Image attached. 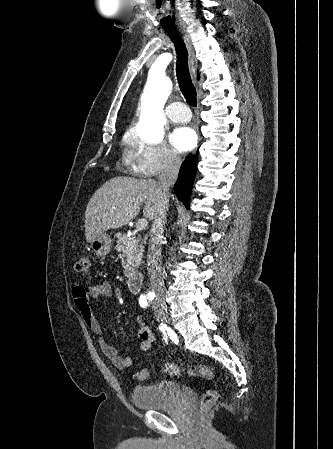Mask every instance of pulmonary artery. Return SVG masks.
I'll return each mask as SVG.
<instances>
[{
    "label": "pulmonary artery",
    "instance_id": "pulmonary-artery-1",
    "mask_svg": "<svg viewBox=\"0 0 333 449\" xmlns=\"http://www.w3.org/2000/svg\"><path fill=\"white\" fill-rule=\"evenodd\" d=\"M166 115L174 122H186L191 118L189 108L182 102H173L166 107Z\"/></svg>",
    "mask_w": 333,
    "mask_h": 449
}]
</instances>
